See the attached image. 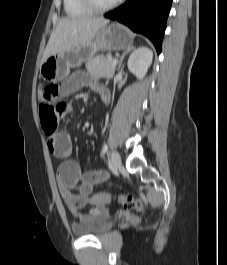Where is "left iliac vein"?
Masks as SVG:
<instances>
[{
    "instance_id": "4c4485c4",
    "label": "left iliac vein",
    "mask_w": 227,
    "mask_h": 265,
    "mask_svg": "<svg viewBox=\"0 0 227 265\" xmlns=\"http://www.w3.org/2000/svg\"><path fill=\"white\" fill-rule=\"evenodd\" d=\"M112 171L115 172L121 166V157L117 151L111 153Z\"/></svg>"
}]
</instances>
